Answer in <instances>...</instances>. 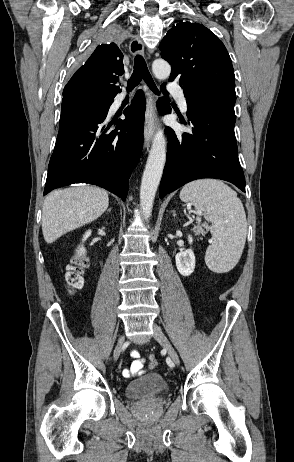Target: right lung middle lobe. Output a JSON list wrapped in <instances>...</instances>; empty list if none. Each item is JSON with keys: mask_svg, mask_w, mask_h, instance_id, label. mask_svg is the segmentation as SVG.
Masks as SVG:
<instances>
[{"mask_svg": "<svg viewBox=\"0 0 294 462\" xmlns=\"http://www.w3.org/2000/svg\"><path fill=\"white\" fill-rule=\"evenodd\" d=\"M120 32L117 29H110L101 37V41L118 39ZM114 96H99L96 94L77 93L63 99L61 117L73 112H89L108 105Z\"/></svg>", "mask_w": 294, "mask_h": 462, "instance_id": "1", "label": "right lung middle lobe"}]
</instances>
